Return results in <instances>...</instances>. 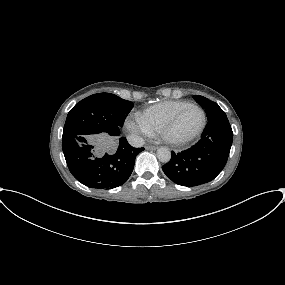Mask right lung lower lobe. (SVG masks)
I'll return each mask as SVG.
<instances>
[{
	"mask_svg": "<svg viewBox=\"0 0 285 285\" xmlns=\"http://www.w3.org/2000/svg\"><path fill=\"white\" fill-rule=\"evenodd\" d=\"M103 137L77 136L62 141L71 174L82 184L95 189H112L131 175L135 158L144 148H134L125 137L118 139L114 152H105Z\"/></svg>",
	"mask_w": 285,
	"mask_h": 285,
	"instance_id": "98d812e1",
	"label": "right lung lower lobe"
}]
</instances>
